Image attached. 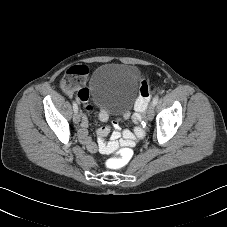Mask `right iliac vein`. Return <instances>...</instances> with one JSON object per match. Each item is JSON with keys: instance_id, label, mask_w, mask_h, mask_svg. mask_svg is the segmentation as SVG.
I'll return each mask as SVG.
<instances>
[{"instance_id": "63e3f726", "label": "right iliac vein", "mask_w": 227, "mask_h": 227, "mask_svg": "<svg viewBox=\"0 0 227 227\" xmlns=\"http://www.w3.org/2000/svg\"><path fill=\"white\" fill-rule=\"evenodd\" d=\"M80 120H81L80 113L76 112V113L74 114V116H73V122H74L75 124H78V123L80 122Z\"/></svg>"}]
</instances>
